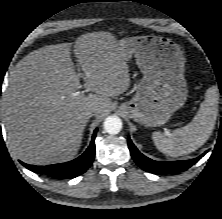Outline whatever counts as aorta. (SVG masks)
Wrapping results in <instances>:
<instances>
[{
  "mask_svg": "<svg viewBox=\"0 0 222 219\" xmlns=\"http://www.w3.org/2000/svg\"><path fill=\"white\" fill-rule=\"evenodd\" d=\"M104 130L109 134H117L122 129V120L118 116H108L104 120Z\"/></svg>",
  "mask_w": 222,
  "mask_h": 219,
  "instance_id": "1",
  "label": "aorta"
}]
</instances>
